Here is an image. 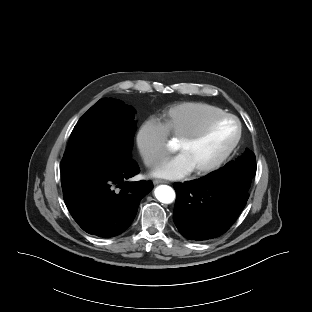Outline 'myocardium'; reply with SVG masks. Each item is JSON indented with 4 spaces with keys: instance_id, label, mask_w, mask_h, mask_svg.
Listing matches in <instances>:
<instances>
[{
    "instance_id": "obj_1",
    "label": "myocardium",
    "mask_w": 312,
    "mask_h": 312,
    "mask_svg": "<svg viewBox=\"0 0 312 312\" xmlns=\"http://www.w3.org/2000/svg\"><path fill=\"white\" fill-rule=\"evenodd\" d=\"M224 119H231L237 125V135H236L234 141L231 143V145L228 147V149L217 160H215L213 163H211L205 167L193 170L194 174H196V175L208 174V173L218 169L219 167H221L228 160V158L235 151V149L237 148V146L241 140V137H242L241 122L235 115H232L229 113H223V114H220V115H217V116H214V117L208 119L198 129H196L195 131H193V132L183 136L182 138H180V143L183 145L193 143V142L199 140L210 129V127L213 124L217 123L218 121L224 120Z\"/></svg>"
}]
</instances>
